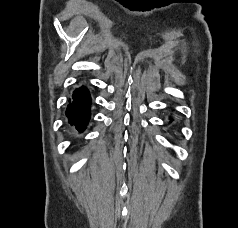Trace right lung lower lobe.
<instances>
[{
	"mask_svg": "<svg viewBox=\"0 0 238 228\" xmlns=\"http://www.w3.org/2000/svg\"><path fill=\"white\" fill-rule=\"evenodd\" d=\"M90 104V94L85 87L76 89L73 92L72 100H69L66 110L68 123L79 132L85 130L90 119Z\"/></svg>",
	"mask_w": 238,
	"mask_h": 228,
	"instance_id": "obj_1",
	"label": "right lung lower lobe"
}]
</instances>
